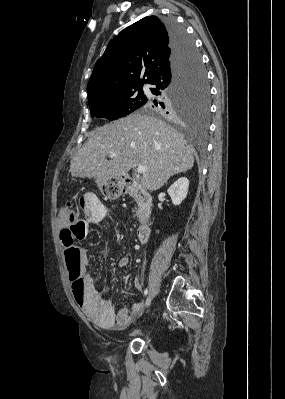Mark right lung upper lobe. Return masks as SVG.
<instances>
[{
	"instance_id": "obj_1",
	"label": "right lung upper lobe",
	"mask_w": 285,
	"mask_h": 399,
	"mask_svg": "<svg viewBox=\"0 0 285 399\" xmlns=\"http://www.w3.org/2000/svg\"><path fill=\"white\" fill-rule=\"evenodd\" d=\"M171 54L165 24L156 16L142 18L109 42L90 77L88 101L151 84Z\"/></svg>"
}]
</instances>
